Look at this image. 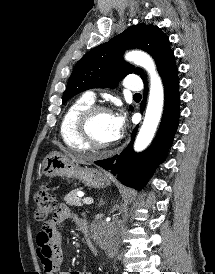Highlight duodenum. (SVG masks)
<instances>
[{"instance_id":"1","label":"duodenum","mask_w":215,"mask_h":274,"mask_svg":"<svg viewBox=\"0 0 215 274\" xmlns=\"http://www.w3.org/2000/svg\"><path fill=\"white\" fill-rule=\"evenodd\" d=\"M82 233L84 234V237H85V240H86V243L88 245V247L91 249V251L94 253V254H97V250H96V247L94 246L92 240H91V237H90V234L87 230L86 227H84L83 229H81Z\"/></svg>"}]
</instances>
